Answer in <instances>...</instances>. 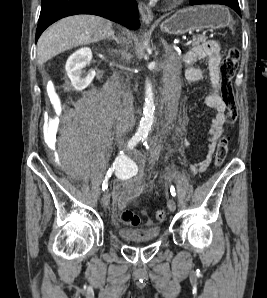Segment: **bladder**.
I'll use <instances>...</instances> for the list:
<instances>
[{
	"instance_id": "31cf9c89",
	"label": "bladder",
	"mask_w": 267,
	"mask_h": 298,
	"mask_svg": "<svg viewBox=\"0 0 267 298\" xmlns=\"http://www.w3.org/2000/svg\"><path fill=\"white\" fill-rule=\"evenodd\" d=\"M119 237L127 242L131 243H147L156 240L160 235V228L154 227L150 229L147 234H142L141 232L129 228H119Z\"/></svg>"
}]
</instances>
